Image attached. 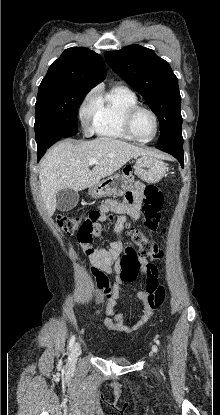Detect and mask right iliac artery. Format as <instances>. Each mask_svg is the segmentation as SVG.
I'll return each instance as SVG.
<instances>
[{"label": "right iliac artery", "mask_w": 220, "mask_h": 415, "mask_svg": "<svg viewBox=\"0 0 220 415\" xmlns=\"http://www.w3.org/2000/svg\"><path fill=\"white\" fill-rule=\"evenodd\" d=\"M74 342H75V336H72L69 340V350L72 349Z\"/></svg>", "instance_id": "1"}]
</instances>
